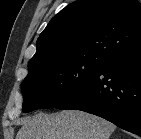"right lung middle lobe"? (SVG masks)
<instances>
[{
    "label": "right lung middle lobe",
    "instance_id": "dd1d6c3e",
    "mask_svg": "<svg viewBox=\"0 0 141 139\" xmlns=\"http://www.w3.org/2000/svg\"><path fill=\"white\" fill-rule=\"evenodd\" d=\"M105 61L84 56L29 69L22 84L23 112L54 108L87 84Z\"/></svg>",
    "mask_w": 141,
    "mask_h": 139
}]
</instances>
